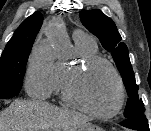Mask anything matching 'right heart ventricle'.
Wrapping results in <instances>:
<instances>
[{"mask_svg": "<svg viewBox=\"0 0 151 131\" xmlns=\"http://www.w3.org/2000/svg\"><path fill=\"white\" fill-rule=\"evenodd\" d=\"M75 45L78 54L82 59L97 55V46L94 42L75 41ZM72 67V65L67 63H57V77L54 91L63 93L65 78Z\"/></svg>", "mask_w": 151, "mask_h": 131, "instance_id": "right-heart-ventricle-1", "label": "right heart ventricle"}]
</instances>
